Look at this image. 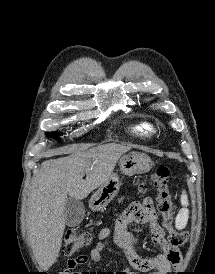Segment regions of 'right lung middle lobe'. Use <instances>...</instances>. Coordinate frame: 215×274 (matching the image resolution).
I'll use <instances>...</instances> for the list:
<instances>
[{
    "label": "right lung middle lobe",
    "mask_w": 215,
    "mask_h": 274,
    "mask_svg": "<svg viewBox=\"0 0 215 274\" xmlns=\"http://www.w3.org/2000/svg\"><path fill=\"white\" fill-rule=\"evenodd\" d=\"M52 137L57 138L59 136V133H51Z\"/></svg>",
    "instance_id": "dd1d6c3e"
}]
</instances>
